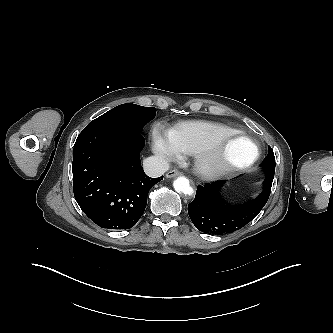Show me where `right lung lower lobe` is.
I'll list each match as a JSON object with an SVG mask.
<instances>
[{
    "instance_id": "1",
    "label": "right lung lower lobe",
    "mask_w": 333,
    "mask_h": 333,
    "mask_svg": "<svg viewBox=\"0 0 333 333\" xmlns=\"http://www.w3.org/2000/svg\"><path fill=\"white\" fill-rule=\"evenodd\" d=\"M138 131L84 129L74 145V196L82 211L107 229H130L144 213L150 188L162 180L141 166Z\"/></svg>"
}]
</instances>
